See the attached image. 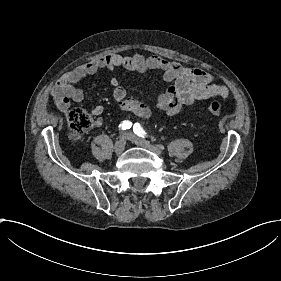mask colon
I'll return each mask as SVG.
<instances>
[{
  "label": "colon",
  "mask_w": 281,
  "mask_h": 281,
  "mask_svg": "<svg viewBox=\"0 0 281 281\" xmlns=\"http://www.w3.org/2000/svg\"><path fill=\"white\" fill-rule=\"evenodd\" d=\"M203 111L209 116H220L224 112V105L219 101H208L203 106ZM69 121L74 130V139L77 144H83L86 140V133L91 128L89 117L80 112H72Z\"/></svg>",
  "instance_id": "colon-1"
}]
</instances>
